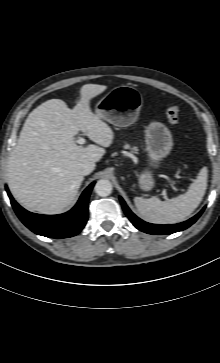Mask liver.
Masks as SVG:
<instances>
[{"label":"liver","instance_id":"obj_1","mask_svg":"<svg viewBox=\"0 0 220 363\" xmlns=\"http://www.w3.org/2000/svg\"><path fill=\"white\" fill-rule=\"evenodd\" d=\"M106 89L85 84L73 109L63 100L50 99L28 115L7 166L10 191L20 204L56 214L75 199L84 180L81 165L98 162L113 143L112 129L90 108L91 99ZM79 131L101 147L78 146L74 136Z\"/></svg>","mask_w":220,"mask_h":363}]
</instances>
